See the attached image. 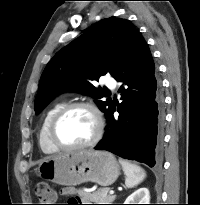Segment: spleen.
Here are the masks:
<instances>
[{
    "label": "spleen",
    "mask_w": 200,
    "mask_h": 205,
    "mask_svg": "<svg viewBox=\"0 0 200 205\" xmlns=\"http://www.w3.org/2000/svg\"><path fill=\"white\" fill-rule=\"evenodd\" d=\"M119 162L126 176L125 185L127 188L137 186L146 177L145 171L140 166L122 159H120Z\"/></svg>",
    "instance_id": "1"
}]
</instances>
